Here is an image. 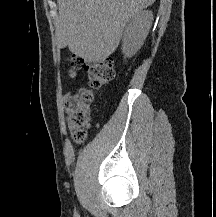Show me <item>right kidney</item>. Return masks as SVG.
I'll list each match as a JSON object with an SVG mask.
<instances>
[{
	"label": "right kidney",
	"instance_id": "right-kidney-1",
	"mask_svg": "<svg viewBox=\"0 0 216 217\" xmlns=\"http://www.w3.org/2000/svg\"><path fill=\"white\" fill-rule=\"evenodd\" d=\"M153 20L151 11L135 14L125 29L122 50L125 57L133 56L143 45Z\"/></svg>",
	"mask_w": 216,
	"mask_h": 217
}]
</instances>
